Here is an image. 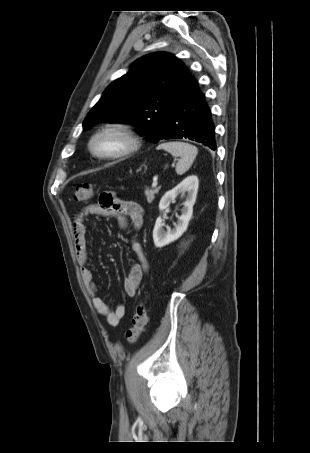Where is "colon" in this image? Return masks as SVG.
<instances>
[{
    "label": "colon",
    "mask_w": 310,
    "mask_h": 453,
    "mask_svg": "<svg viewBox=\"0 0 310 453\" xmlns=\"http://www.w3.org/2000/svg\"><path fill=\"white\" fill-rule=\"evenodd\" d=\"M93 196V187L90 184L78 185L73 194L75 202H84L89 200ZM114 194L111 192H105L100 195L99 202L104 208L109 207L114 201ZM148 321L147 310L145 302L140 301L135 309V312L131 319V327L126 331V340L130 343L137 341L142 331L144 330Z\"/></svg>",
    "instance_id": "5ec220e1"
}]
</instances>
